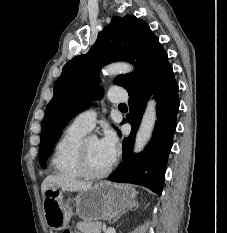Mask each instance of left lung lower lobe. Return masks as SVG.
Listing matches in <instances>:
<instances>
[{"label": "left lung lower lobe", "mask_w": 227, "mask_h": 233, "mask_svg": "<svg viewBox=\"0 0 227 233\" xmlns=\"http://www.w3.org/2000/svg\"><path fill=\"white\" fill-rule=\"evenodd\" d=\"M152 94H155L158 110L153 135L144 151L140 154H133L132 146L135 135L147 100ZM129 97L130 113L123 122H129L132 129L130 135L122 141L123 161L109 176V180L145 186L161 195L179 109L178 84L171 65L150 87L143 91L131 92ZM118 134L121 136L120 132Z\"/></svg>", "instance_id": "1"}]
</instances>
